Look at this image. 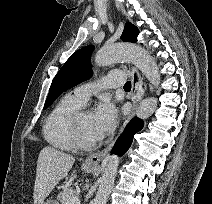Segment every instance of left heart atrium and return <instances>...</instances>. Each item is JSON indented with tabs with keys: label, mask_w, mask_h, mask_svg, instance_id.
I'll return each mask as SVG.
<instances>
[{
	"label": "left heart atrium",
	"mask_w": 212,
	"mask_h": 204,
	"mask_svg": "<svg viewBox=\"0 0 212 204\" xmlns=\"http://www.w3.org/2000/svg\"><path fill=\"white\" fill-rule=\"evenodd\" d=\"M94 120L98 139L110 134L118 121V112L115 105L108 100L102 101L94 112Z\"/></svg>",
	"instance_id": "left-heart-atrium-1"
}]
</instances>
